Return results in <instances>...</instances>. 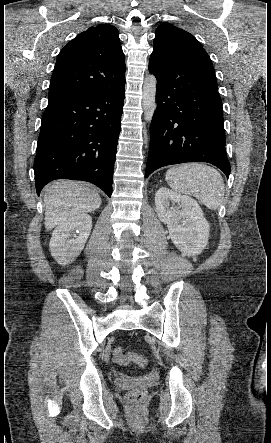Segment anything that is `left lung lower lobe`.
I'll return each instance as SVG.
<instances>
[{
	"mask_svg": "<svg viewBox=\"0 0 271 443\" xmlns=\"http://www.w3.org/2000/svg\"><path fill=\"white\" fill-rule=\"evenodd\" d=\"M149 71L157 79V109L146 177L167 165L208 162L228 178L230 163L214 68L153 52Z\"/></svg>",
	"mask_w": 271,
	"mask_h": 443,
	"instance_id": "left-lung-lower-lobe-1",
	"label": "left lung lower lobe"
}]
</instances>
